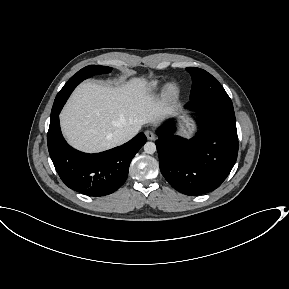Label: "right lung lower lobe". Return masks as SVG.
<instances>
[{
  "mask_svg": "<svg viewBox=\"0 0 289 289\" xmlns=\"http://www.w3.org/2000/svg\"><path fill=\"white\" fill-rule=\"evenodd\" d=\"M80 82V79L68 81L55 98L47 136L48 150L66 186L85 195L105 196L124 184L130 162L147 138L139 133L124 145L98 154H86L70 147L60 130L59 113Z\"/></svg>",
  "mask_w": 289,
  "mask_h": 289,
  "instance_id": "obj_1",
  "label": "right lung lower lobe"
}]
</instances>
